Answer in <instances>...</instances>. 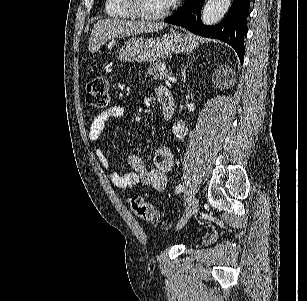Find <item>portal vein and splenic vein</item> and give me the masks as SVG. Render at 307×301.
<instances>
[{
  "instance_id": "1",
  "label": "portal vein and splenic vein",
  "mask_w": 307,
  "mask_h": 301,
  "mask_svg": "<svg viewBox=\"0 0 307 301\" xmlns=\"http://www.w3.org/2000/svg\"><path fill=\"white\" fill-rule=\"evenodd\" d=\"M163 78H168V80H172V82H175L176 78H173V76H169V74H165Z\"/></svg>"
}]
</instances>
